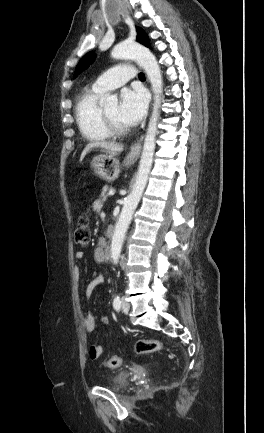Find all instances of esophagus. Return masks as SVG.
Segmentation results:
<instances>
[{
	"label": "esophagus",
	"instance_id": "1",
	"mask_svg": "<svg viewBox=\"0 0 264 433\" xmlns=\"http://www.w3.org/2000/svg\"><path fill=\"white\" fill-rule=\"evenodd\" d=\"M143 136L140 137L134 144L131 145L129 153L127 155L128 160H135L140 154Z\"/></svg>",
	"mask_w": 264,
	"mask_h": 433
}]
</instances>
